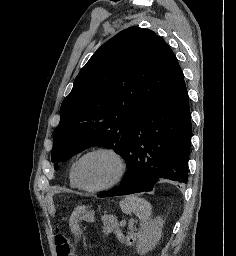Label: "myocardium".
I'll use <instances>...</instances> for the list:
<instances>
[{
    "label": "myocardium",
    "instance_id": "obj_1",
    "mask_svg": "<svg viewBox=\"0 0 236 256\" xmlns=\"http://www.w3.org/2000/svg\"><path fill=\"white\" fill-rule=\"evenodd\" d=\"M95 153H109L112 156H114V158L116 159L117 163H118V173L116 175V177L109 183L99 186V187H88L87 185H85L83 178H82V174H81V165L83 160L91 155V154H95ZM127 171V162H126V158L123 155V153L118 150L116 147L113 146H98L95 148H92L88 151H86L85 153H83L77 160L76 163V169H75V174H76V178L78 181V184L80 185V187L82 189H84L85 191L91 192V193H97V192H102V191H106L109 190L113 187H115L116 185H118L124 178L125 174Z\"/></svg>",
    "mask_w": 236,
    "mask_h": 256
}]
</instances>
